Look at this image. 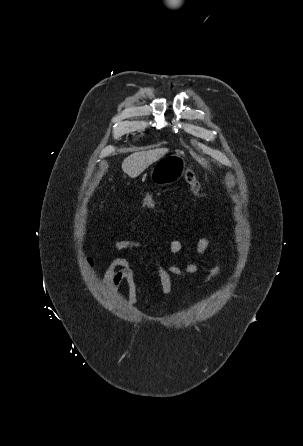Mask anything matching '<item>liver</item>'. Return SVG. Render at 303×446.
Wrapping results in <instances>:
<instances>
[{
	"mask_svg": "<svg viewBox=\"0 0 303 446\" xmlns=\"http://www.w3.org/2000/svg\"><path fill=\"white\" fill-rule=\"evenodd\" d=\"M167 149L138 151L129 155L122 163V170L131 178L138 177L149 165L160 159Z\"/></svg>",
	"mask_w": 303,
	"mask_h": 446,
	"instance_id": "1",
	"label": "liver"
}]
</instances>
